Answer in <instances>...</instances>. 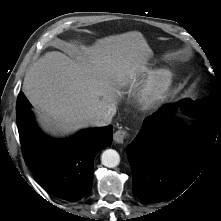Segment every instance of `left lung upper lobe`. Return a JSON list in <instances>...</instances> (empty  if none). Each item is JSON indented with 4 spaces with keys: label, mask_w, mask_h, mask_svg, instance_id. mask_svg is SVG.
Instances as JSON below:
<instances>
[{
    "label": "left lung upper lobe",
    "mask_w": 221,
    "mask_h": 221,
    "mask_svg": "<svg viewBox=\"0 0 221 221\" xmlns=\"http://www.w3.org/2000/svg\"><path fill=\"white\" fill-rule=\"evenodd\" d=\"M221 93L214 90L208 97L184 103L187 112L193 117L221 119Z\"/></svg>",
    "instance_id": "5c2ea615"
}]
</instances>
